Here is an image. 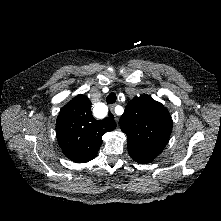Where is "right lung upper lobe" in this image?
I'll use <instances>...</instances> for the list:
<instances>
[{"mask_svg":"<svg viewBox=\"0 0 221 221\" xmlns=\"http://www.w3.org/2000/svg\"><path fill=\"white\" fill-rule=\"evenodd\" d=\"M116 128V122L106 117L92 116L91 102L78 95L60 111L56 120V135L64 155L76 163H85L97 156L104 133Z\"/></svg>","mask_w":221,"mask_h":221,"instance_id":"cb5924a9","label":"right lung upper lobe"}]
</instances>
